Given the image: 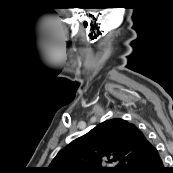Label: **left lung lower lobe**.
Masks as SVG:
<instances>
[{"mask_svg": "<svg viewBox=\"0 0 173 173\" xmlns=\"http://www.w3.org/2000/svg\"><path fill=\"white\" fill-rule=\"evenodd\" d=\"M162 159L154 145L148 148L130 173H166Z\"/></svg>", "mask_w": 173, "mask_h": 173, "instance_id": "left-lung-lower-lobe-1", "label": "left lung lower lobe"}]
</instances>
